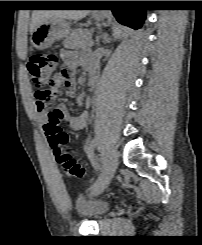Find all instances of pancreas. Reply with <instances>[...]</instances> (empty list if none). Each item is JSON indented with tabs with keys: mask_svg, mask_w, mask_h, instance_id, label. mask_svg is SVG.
<instances>
[{
	"mask_svg": "<svg viewBox=\"0 0 202 245\" xmlns=\"http://www.w3.org/2000/svg\"><path fill=\"white\" fill-rule=\"evenodd\" d=\"M91 41L89 31L83 29L74 30L68 38L63 41L67 48H86Z\"/></svg>",
	"mask_w": 202,
	"mask_h": 245,
	"instance_id": "cf45deb5",
	"label": "pancreas"
}]
</instances>
